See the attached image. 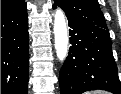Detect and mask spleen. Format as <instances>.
<instances>
[{
  "label": "spleen",
  "mask_w": 121,
  "mask_h": 94,
  "mask_svg": "<svg viewBox=\"0 0 121 94\" xmlns=\"http://www.w3.org/2000/svg\"><path fill=\"white\" fill-rule=\"evenodd\" d=\"M91 94H104V93L103 92H100V91H95V92H93Z\"/></svg>",
  "instance_id": "spleen-1"
}]
</instances>
